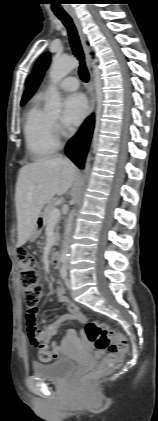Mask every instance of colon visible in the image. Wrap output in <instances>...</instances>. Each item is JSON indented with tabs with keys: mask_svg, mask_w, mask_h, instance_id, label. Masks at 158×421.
I'll use <instances>...</instances> for the list:
<instances>
[{
	"mask_svg": "<svg viewBox=\"0 0 158 421\" xmlns=\"http://www.w3.org/2000/svg\"><path fill=\"white\" fill-rule=\"evenodd\" d=\"M17 260L26 304L28 307L34 308L38 303L42 291L35 258L27 249L19 248L17 250ZM31 310L33 311V309ZM83 322L86 323L84 327L86 339L91 342L97 350L107 351V354L97 366L83 376L82 383L85 386H89L107 372L120 366L123 356L128 351V342L122 334L101 321L86 322V319L83 316ZM38 357L41 362L48 363L52 361L55 355L49 348L40 347Z\"/></svg>",
	"mask_w": 158,
	"mask_h": 421,
	"instance_id": "5ec220e1",
	"label": "colon"
}]
</instances>
